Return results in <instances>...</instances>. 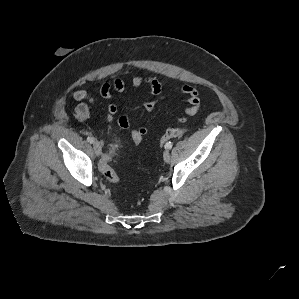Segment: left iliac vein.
Returning a JSON list of instances; mask_svg holds the SVG:
<instances>
[{"label":"left iliac vein","mask_w":299,"mask_h":299,"mask_svg":"<svg viewBox=\"0 0 299 299\" xmlns=\"http://www.w3.org/2000/svg\"><path fill=\"white\" fill-rule=\"evenodd\" d=\"M163 158H164V161L167 163L170 161L171 156H170V152L168 150L164 151Z\"/></svg>","instance_id":"4c4485c4"}]
</instances>
